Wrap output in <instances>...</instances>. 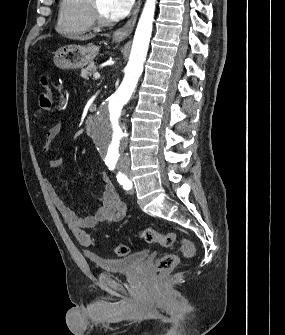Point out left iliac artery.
<instances>
[{
	"label": "left iliac artery",
	"instance_id": "1",
	"mask_svg": "<svg viewBox=\"0 0 285 335\" xmlns=\"http://www.w3.org/2000/svg\"><path fill=\"white\" fill-rule=\"evenodd\" d=\"M117 180L121 185H123L124 189H126V190L131 189V187H132L131 181L127 178V176H125L121 172L118 173Z\"/></svg>",
	"mask_w": 285,
	"mask_h": 335
}]
</instances>
